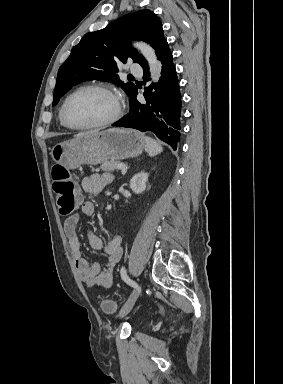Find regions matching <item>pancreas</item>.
I'll return each instance as SVG.
<instances>
[{
	"label": "pancreas",
	"mask_w": 283,
	"mask_h": 384,
	"mask_svg": "<svg viewBox=\"0 0 283 384\" xmlns=\"http://www.w3.org/2000/svg\"><path fill=\"white\" fill-rule=\"evenodd\" d=\"M118 164H121V162H102L99 168L107 174V172H114V170H117Z\"/></svg>",
	"instance_id": "1"
}]
</instances>
